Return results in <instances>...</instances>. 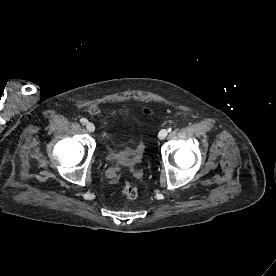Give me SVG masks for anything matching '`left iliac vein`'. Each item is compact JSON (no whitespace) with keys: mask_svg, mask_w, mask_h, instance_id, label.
Instances as JSON below:
<instances>
[{"mask_svg":"<svg viewBox=\"0 0 276 276\" xmlns=\"http://www.w3.org/2000/svg\"><path fill=\"white\" fill-rule=\"evenodd\" d=\"M167 135H168V130L167 129H162L158 134V138L160 140H163V139L166 138Z\"/></svg>","mask_w":276,"mask_h":276,"instance_id":"1","label":"left iliac vein"}]
</instances>
